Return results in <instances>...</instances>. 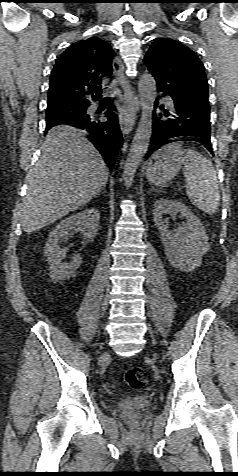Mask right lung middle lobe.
I'll return each instance as SVG.
<instances>
[{"mask_svg": "<svg viewBox=\"0 0 238 476\" xmlns=\"http://www.w3.org/2000/svg\"><path fill=\"white\" fill-rule=\"evenodd\" d=\"M86 107L72 105H54L48 106L46 112V123L50 125L68 122L76 117L85 116Z\"/></svg>", "mask_w": 238, "mask_h": 476, "instance_id": "1", "label": "right lung middle lobe"}]
</instances>
